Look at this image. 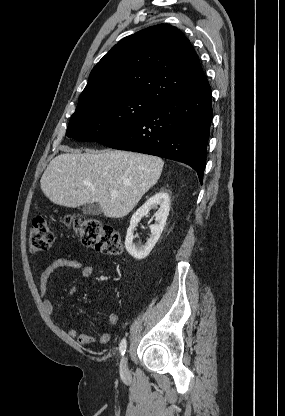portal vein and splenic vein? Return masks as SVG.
I'll use <instances>...</instances> for the list:
<instances>
[{
	"label": "portal vein and splenic vein",
	"instance_id": "obj_1",
	"mask_svg": "<svg viewBox=\"0 0 285 416\" xmlns=\"http://www.w3.org/2000/svg\"><path fill=\"white\" fill-rule=\"evenodd\" d=\"M110 196H112V198H115V196H118L117 190H110Z\"/></svg>",
	"mask_w": 285,
	"mask_h": 416
}]
</instances>
